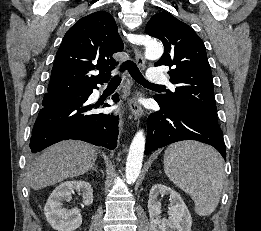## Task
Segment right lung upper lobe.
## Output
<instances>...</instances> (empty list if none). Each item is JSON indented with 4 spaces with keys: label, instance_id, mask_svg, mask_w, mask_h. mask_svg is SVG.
Returning a JSON list of instances; mask_svg holds the SVG:
<instances>
[{
    "label": "right lung upper lobe",
    "instance_id": "1",
    "mask_svg": "<svg viewBox=\"0 0 261 231\" xmlns=\"http://www.w3.org/2000/svg\"><path fill=\"white\" fill-rule=\"evenodd\" d=\"M123 46L108 12L81 18L66 32L56 53L46 94L85 93L107 82L118 64L112 55L122 51ZM94 70H99V75H92Z\"/></svg>",
    "mask_w": 261,
    "mask_h": 231
}]
</instances>
